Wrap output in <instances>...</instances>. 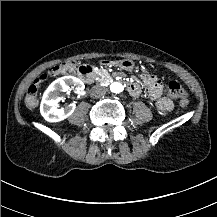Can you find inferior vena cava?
<instances>
[{
  "mask_svg": "<svg viewBox=\"0 0 217 217\" xmlns=\"http://www.w3.org/2000/svg\"><path fill=\"white\" fill-rule=\"evenodd\" d=\"M108 92L107 88L104 86H98L95 88L94 93L97 94L98 97L105 95Z\"/></svg>",
  "mask_w": 217,
  "mask_h": 217,
  "instance_id": "inferior-vena-cava-1",
  "label": "inferior vena cava"
}]
</instances>
